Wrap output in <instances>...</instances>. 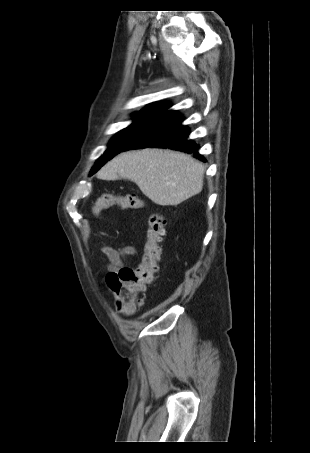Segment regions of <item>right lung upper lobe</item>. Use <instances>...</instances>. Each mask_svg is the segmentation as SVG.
Instances as JSON below:
<instances>
[{
  "instance_id": "obj_1",
  "label": "right lung upper lobe",
  "mask_w": 310,
  "mask_h": 453,
  "mask_svg": "<svg viewBox=\"0 0 310 453\" xmlns=\"http://www.w3.org/2000/svg\"><path fill=\"white\" fill-rule=\"evenodd\" d=\"M169 103L165 102H154L148 104L139 112L133 114V117H148V118H159L167 112Z\"/></svg>"
}]
</instances>
